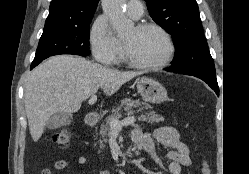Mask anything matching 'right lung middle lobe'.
I'll return each instance as SVG.
<instances>
[{
  "label": "right lung middle lobe",
  "mask_w": 249,
  "mask_h": 174,
  "mask_svg": "<svg viewBox=\"0 0 249 174\" xmlns=\"http://www.w3.org/2000/svg\"><path fill=\"white\" fill-rule=\"evenodd\" d=\"M92 19L78 24L43 31L33 62L59 54L90 55L89 37Z\"/></svg>",
  "instance_id": "dd1d6c3e"
}]
</instances>
